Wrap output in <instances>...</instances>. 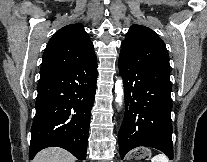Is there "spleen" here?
<instances>
[{
  "label": "spleen",
  "mask_w": 207,
  "mask_h": 162,
  "mask_svg": "<svg viewBox=\"0 0 207 162\" xmlns=\"http://www.w3.org/2000/svg\"><path fill=\"white\" fill-rule=\"evenodd\" d=\"M151 162H169V159L164 154H158L151 159Z\"/></svg>",
  "instance_id": "obj_1"
}]
</instances>
